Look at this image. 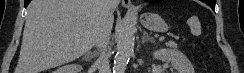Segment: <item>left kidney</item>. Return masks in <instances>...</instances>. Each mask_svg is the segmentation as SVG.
<instances>
[{
  "mask_svg": "<svg viewBox=\"0 0 244 73\" xmlns=\"http://www.w3.org/2000/svg\"><path fill=\"white\" fill-rule=\"evenodd\" d=\"M153 58L171 62L176 73H194L189 59L180 51L174 49H159L153 53Z\"/></svg>",
  "mask_w": 244,
  "mask_h": 73,
  "instance_id": "obj_1",
  "label": "left kidney"
}]
</instances>
